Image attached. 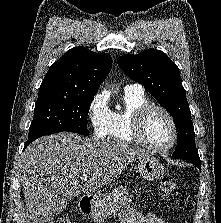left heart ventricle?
I'll return each mask as SVG.
<instances>
[{"mask_svg":"<svg viewBox=\"0 0 221 223\" xmlns=\"http://www.w3.org/2000/svg\"><path fill=\"white\" fill-rule=\"evenodd\" d=\"M172 128L168 118L160 111H152L144 125V136L153 145L165 146L172 139Z\"/></svg>","mask_w":221,"mask_h":223,"instance_id":"left-heart-ventricle-1","label":"left heart ventricle"}]
</instances>
